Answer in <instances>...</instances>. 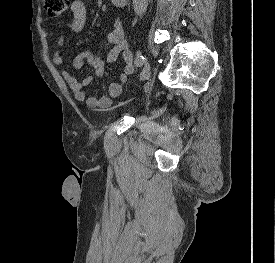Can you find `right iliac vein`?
<instances>
[{
    "label": "right iliac vein",
    "mask_w": 275,
    "mask_h": 263,
    "mask_svg": "<svg viewBox=\"0 0 275 263\" xmlns=\"http://www.w3.org/2000/svg\"><path fill=\"white\" fill-rule=\"evenodd\" d=\"M150 75V65L148 63L145 64L141 75H140V80H145L149 77Z\"/></svg>",
    "instance_id": "right-iliac-vein-1"
}]
</instances>
